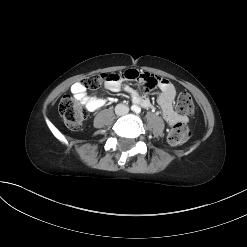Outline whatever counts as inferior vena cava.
<instances>
[{"label":"inferior vena cava","mask_w":247,"mask_h":247,"mask_svg":"<svg viewBox=\"0 0 247 247\" xmlns=\"http://www.w3.org/2000/svg\"><path fill=\"white\" fill-rule=\"evenodd\" d=\"M129 112V108L128 106L124 105V104H118L116 107H115V113L119 116L121 115H125Z\"/></svg>","instance_id":"602c4592"}]
</instances>
